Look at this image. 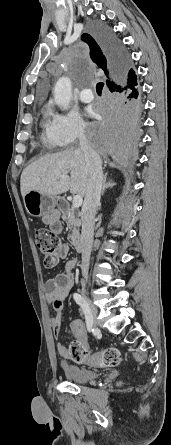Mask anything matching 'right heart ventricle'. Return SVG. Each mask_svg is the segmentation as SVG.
<instances>
[{"label":"right heart ventricle","instance_id":"e07e8e85","mask_svg":"<svg viewBox=\"0 0 171 445\" xmlns=\"http://www.w3.org/2000/svg\"><path fill=\"white\" fill-rule=\"evenodd\" d=\"M41 140L48 149H56L62 145L55 133L53 121L47 117L41 122Z\"/></svg>","mask_w":171,"mask_h":445}]
</instances>
